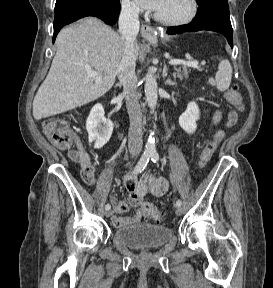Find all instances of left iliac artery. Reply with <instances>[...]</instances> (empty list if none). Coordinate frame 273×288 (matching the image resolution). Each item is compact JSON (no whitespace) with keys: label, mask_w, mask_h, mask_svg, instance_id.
<instances>
[{"label":"left iliac artery","mask_w":273,"mask_h":288,"mask_svg":"<svg viewBox=\"0 0 273 288\" xmlns=\"http://www.w3.org/2000/svg\"><path fill=\"white\" fill-rule=\"evenodd\" d=\"M158 159H159L158 153L154 152V153L151 154V160L154 163H156L158 161ZM176 205L177 206H181L182 205V201L181 200H177Z\"/></svg>","instance_id":"44dca946"}]
</instances>
